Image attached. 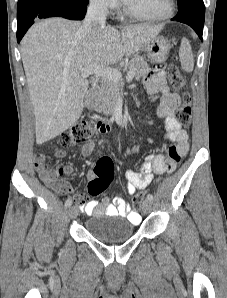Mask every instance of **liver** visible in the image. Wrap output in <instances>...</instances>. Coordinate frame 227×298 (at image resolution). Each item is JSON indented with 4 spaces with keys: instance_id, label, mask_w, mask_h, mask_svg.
<instances>
[{
    "instance_id": "obj_1",
    "label": "liver",
    "mask_w": 227,
    "mask_h": 298,
    "mask_svg": "<svg viewBox=\"0 0 227 298\" xmlns=\"http://www.w3.org/2000/svg\"><path fill=\"white\" fill-rule=\"evenodd\" d=\"M81 22L54 17L36 22L21 42V55L35 115L37 144L49 141L80 118L88 81L82 68L110 66L156 37L162 26H107L82 31Z\"/></svg>"
}]
</instances>
